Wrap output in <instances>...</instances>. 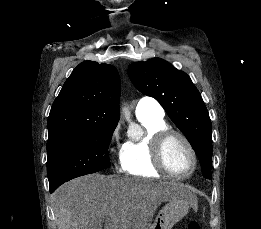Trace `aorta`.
Listing matches in <instances>:
<instances>
[{"label": "aorta", "instance_id": "762f6f07", "mask_svg": "<svg viewBox=\"0 0 261 229\" xmlns=\"http://www.w3.org/2000/svg\"><path fill=\"white\" fill-rule=\"evenodd\" d=\"M122 110L124 112V117H125L127 123H129V129H134V123H132V121H131V115H130L128 108H125V106H123ZM142 135H143V133H140V131H139V133H138L139 139H142Z\"/></svg>", "mask_w": 261, "mask_h": 229}]
</instances>
